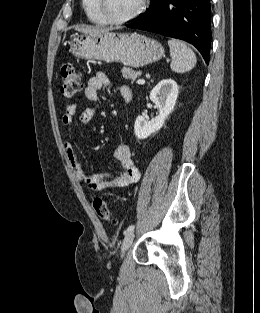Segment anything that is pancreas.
I'll use <instances>...</instances> for the list:
<instances>
[{
	"mask_svg": "<svg viewBox=\"0 0 260 313\" xmlns=\"http://www.w3.org/2000/svg\"><path fill=\"white\" fill-rule=\"evenodd\" d=\"M121 73L125 79H131L132 82L141 75V71H136L127 67H123Z\"/></svg>",
	"mask_w": 260,
	"mask_h": 313,
	"instance_id": "pancreas-1",
	"label": "pancreas"
}]
</instances>
